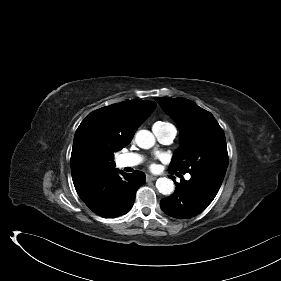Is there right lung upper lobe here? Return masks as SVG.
Returning <instances> with one entry per match:
<instances>
[{
	"instance_id": "cb5924a9",
	"label": "right lung upper lobe",
	"mask_w": 281,
	"mask_h": 281,
	"mask_svg": "<svg viewBox=\"0 0 281 281\" xmlns=\"http://www.w3.org/2000/svg\"><path fill=\"white\" fill-rule=\"evenodd\" d=\"M156 103L129 100L91 112L78 127L71 153L76 190L115 167L114 152L128 145Z\"/></svg>"
}]
</instances>
